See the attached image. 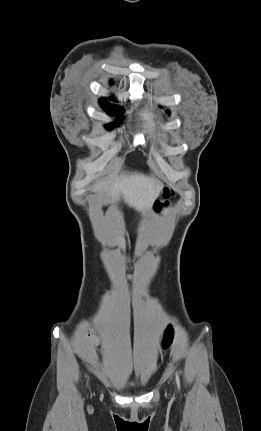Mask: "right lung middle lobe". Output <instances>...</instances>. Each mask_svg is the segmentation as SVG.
Listing matches in <instances>:
<instances>
[{"label":"right lung middle lobe","mask_w":261,"mask_h":431,"mask_svg":"<svg viewBox=\"0 0 261 431\" xmlns=\"http://www.w3.org/2000/svg\"><path fill=\"white\" fill-rule=\"evenodd\" d=\"M101 106L108 112V113H116L117 115H122L124 113V109L121 106L118 105H109L106 101L100 99ZM119 125V121L116 120L115 122L109 124L106 126L107 129H112Z\"/></svg>","instance_id":"obj_1"}]
</instances>
